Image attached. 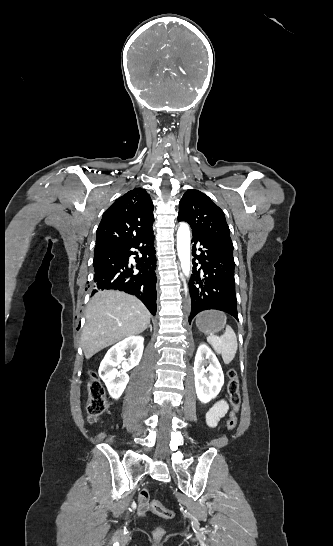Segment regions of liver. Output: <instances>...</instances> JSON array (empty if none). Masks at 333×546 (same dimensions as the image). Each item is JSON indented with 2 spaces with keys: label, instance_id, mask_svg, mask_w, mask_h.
Segmentation results:
<instances>
[{
  "label": "liver",
  "instance_id": "6515ba94",
  "mask_svg": "<svg viewBox=\"0 0 333 546\" xmlns=\"http://www.w3.org/2000/svg\"><path fill=\"white\" fill-rule=\"evenodd\" d=\"M150 313L132 295L119 291H99L90 300L81 335L86 359L126 337L142 333L150 324Z\"/></svg>",
  "mask_w": 333,
  "mask_h": 546
}]
</instances>
